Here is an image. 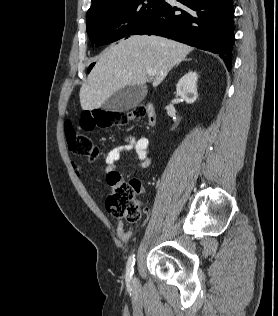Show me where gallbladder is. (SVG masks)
Returning a JSON list of instances; mask_svg holds the SVG:
<instances>
[{
	"label": "gallbladder",
	"mask_w": 278,
	"mask_h": 316,
	"mask_svg": "<svg viewBox=\"0 0 278 316\" xmlns=\"http://www.w3.org/2000/svg\"><path fill=\"white\" fill-rule=\"evenodd\" d=\"M147 94L143 85H128L112 94L102 108L109 112H126L138 106Z\"/></svg>",
	"instance_id": "obj_1"
}]
</instances>
